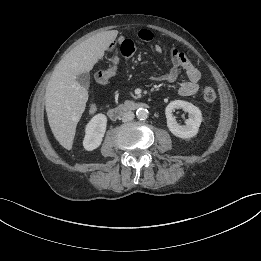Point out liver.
I'll return each mask as SVG.
<instances>
[{"label":"liver","instance_id":"1","mask_svg":"<svg viewBox=\"0 0 261 261\" xmlns=\"http://www.w3.org/2000/svg\"><path fill=\"white\" fill-rule=\"evenodd\" d=\"M117 30L98 33L71 50L55 67L45 92L48 122L56 140L70 148L88 100V91L76 80L91 71L116 39Z\"/></svg>","mask_w":261,"mask_h":261}]
</instances>
